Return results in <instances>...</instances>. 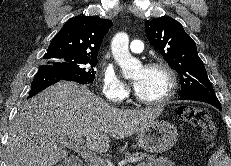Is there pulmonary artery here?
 Wrapping results in <instances>:
<instances>
[{
    "label": "pulmonary artery",
    "mask_w": 231,
    "mask_h": 166,
    "mask_svg": "<svg viewBox=\"0 0 231 166\" xmlns=\"http://www.w3.org/2000/svg\"><path fill=\"white\" fill-rule=\"evenodd\" d=\"M129 48L132 53L138 54L144 50V44L141 40H133L131 41Z\"/></svg>",
    "instance_id": "e3ab8cb5"
}]
</instances>
